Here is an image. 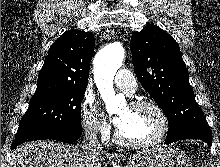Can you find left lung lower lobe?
<instances>
[{
  "instance_id": "obj_1",
  "label": "left lung lower lobe",
  "mask_w": 220,
  "mask_h": 167,
  "mask_svg": "<svg viewBox=\"0 0 220 167\" xmlns=\"http://www.w3.org/2000/svg\"><path fill=\"white\" fill-rule=\"evenodd\" d=\"M182 139H199L207 143L209 146H211L212 143V134L211 130H201V131H195L192 133H189L181 138H176V139H167L164 144H170L177 142Z\"/></svg>"
}]
</instances>
